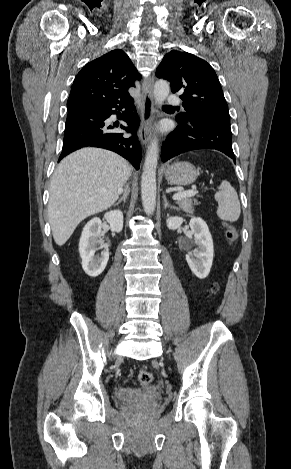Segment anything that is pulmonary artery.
<instances>
[{
  "label": "pulmonary artery",
  "mask_w": 291,
  "mask_h": 469,
  "mask_svg": "<svg viewBox=\"0 0 291 469\" xmlns=\"http://www.w3.org/2000/svg\"><path fill=\"white\" fill-rule=\"evenodd\" d=\"M167 103H168V105H170V106H178V105L181 104V100H180V98H179L178 96H176V95H170V96H168V98H167Z\"/></svg>",
  "instance_id": "1"
}]
</instances>
